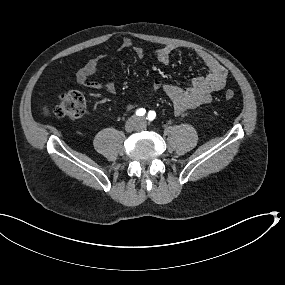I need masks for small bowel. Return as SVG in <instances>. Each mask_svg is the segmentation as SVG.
I'll list each match as a JSON object with an SVG mask.
<instances>
[{
	"instance_id": "obj_1",
	"label": "small bowel",
	"mask_w": 285,
	"mask_h": 285,
	"mask_svg": "<svg viewBox=\"0 0 285 285\" xmlns=\"http://www.w3.org/2000/svg\"><path fill=\"white\" fill-rule=\"evenodd\" d=\"M119 49H132L137 57L143 59L147 52L140 46L134 45L130 38H123L119 44ZM175 47L171 45L164 46L153 52L155 58L163 63L168 64ZM196 55L206 65L208 73L204 76L194 77L187 88L177 85L157 83L155 90H161L171 100L176 114H182L187 110L197 108L201 105L208 104L212 101V94L221 90L227 80V71L225 67L212 55L197 50ZM99 64L98 58L90 59L77 73V81L85 87L92 90H104L109 94H115L117 91L116 84L112 81L102 82L99 80H89L97 71ZM132 104L126 106L131 109Z\"/></svg>"
}]
</instances>
